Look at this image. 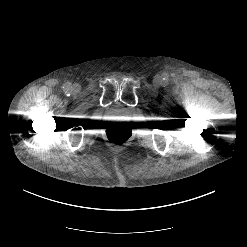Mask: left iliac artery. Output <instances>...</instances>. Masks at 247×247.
Wrapping results in <instances>:
<instances>
[{"label": "left iliac artery", "mask_w": 247, "mask_h": 247, "mask_svg": "<svg viewBox=\"0 0 247 247\" xmlns=\"http://www.w3.org/2000/svg\"><path fill=\"white\" fill-rule=\"evenodd\" d=\"M163 80H167V76H165V77L163 78Z\"/></svg>", "instance_id": "44dca946"}]
</instances>
